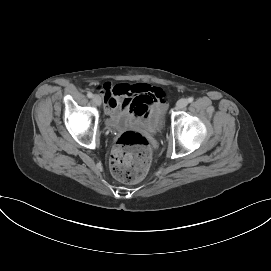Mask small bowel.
<instances>
[{"label":"small bowel","instance_id":"1","mask_svg":"<svg viewBox=\"0 0 271 271\" xmlns=\"http://www.w3.org/2000/svg\"><path fill=\"white\" fill-rule=\"evenodd\" d=\"M100 95L109 115L108 124L112 127L120 125L124 120L138 123L156 118L166 106L165 91L146 83H105L100 88Z\"/></svg>","mask_w":271,"mask_h":271}]
</instances>
